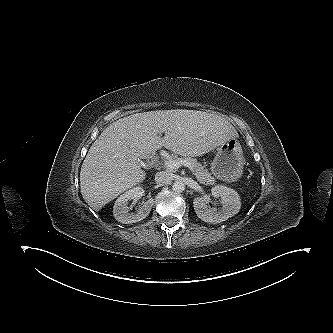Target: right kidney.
<instances>
[{
	"label": "right kidney",
	"instance_id": "right-kidney-1",
	"mask_svg": "<svg viewBox=\"0 0 333 333\" xmlns=\"http://www.w3.org/2000/svg\"><path fill=\"white\" fill-rule=\"evenodd\" d=\"M140 189L139 187H135L129 189L124 194L120 195V197L116 200L113 207V214L115 219L123 224H131L139 222L145 219L153 206V201L150 199L144 203L142 207H139L135 212H129V207L127 206L129 201L137 202L140 198Z\"/></svg>",
	"mask_w": 333,
	"mask_h": 333
}]
</instances>
